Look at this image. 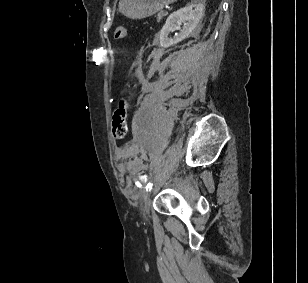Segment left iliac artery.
<instances>
[{
	"mask_svg": "<svg viewBox=\"0 0 308 283\" xmlns=\"http://www.w3.org/2000/svg\"><path fill=\"white\" fill-rule=\"evenodd\" d=\"M152 186H153V183L152 182H149L146 187H145V191L146 192H149L151 189H152Z\"/></svg>",
	"mask_w": 308,
	"mask_h": 283,
	"instance_id": "obj_1",
	"label": "left iliac artery"
}]
</instances>
